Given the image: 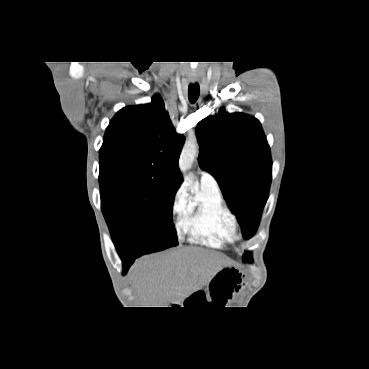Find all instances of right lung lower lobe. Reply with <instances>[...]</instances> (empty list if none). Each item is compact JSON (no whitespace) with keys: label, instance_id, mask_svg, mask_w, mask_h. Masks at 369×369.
I'll use <instances>...</instances> for the list:
<instances>
[{"label":"right lung lower lobe","instance_id":"1","mask_svg":"<svg viewBox=\"0 0 369 369\" xmlns=\"http://www.w3.org/2000/svg\"><path fill=\"white\" fill-rule=\"evenodd\" d=\"M137 257H121L124 267V273L130 267V265L135 261Z\"/></svg>","mask_w":369,"mask_h":369}]
</instances>
